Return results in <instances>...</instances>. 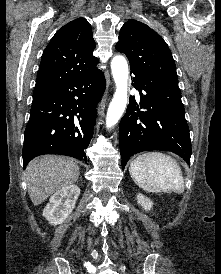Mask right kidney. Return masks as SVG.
I'll return each mask as SVG.
<instances>
[{"mask_svg":"<svg viewBox=\"0 0 221 274\" xmlns=\"http://www.w3.org/2000/svg\"><path fill=\"white\" fill-rule=\"evenodd\" d=\"M80 194L77 185L63 187L54 193L43 210V216L51 225H58L71 214Z\"/></svg>","mask_w":221,"mask_h":274,"instance_id":"obj_1","label":"right kidney"}]
</instances>
